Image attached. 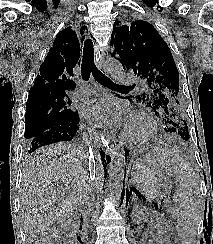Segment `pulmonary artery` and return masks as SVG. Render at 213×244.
I'll list each match as a JSON object with an SVG mask.
<instances>
[{
	"label": "pulmonary artery",
	"mask_w": 213,
	"mask_h": 244,
	"mask_svg": "<svg viewBox=\"0 0 213 244\" xmlns=\"http://www.w3.org/2000/svg\"><path fill=\"white\" fill-rule=\"evenodd\" d=\"M133 80V77L129 74H123L120 76L122 83H129ZM95 93V88L89 84L84 83L81 88L77 91V95L81 98L87 97Z\"/></svg>",
	"instance_id": "pulmonary-artery-1"
}]
</instances>
